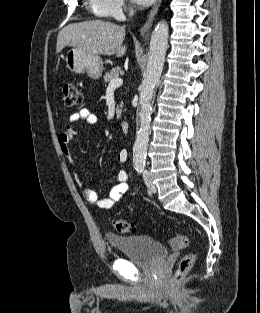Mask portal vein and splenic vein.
<instances>
[{
  "label": "portal vein and splenic vein",
  "mask_w": 260,
  "mask_h": 313,
  "mask_svg": "<svg viewBox=\"0 0 260 313\" xmlns=\"http://www.w3.org/2000/svg\"><path fill=\"white\" fill-rule=\"evenodd\" d=\"M123 84V80L121 78H115L110 81L108 88H118Z\"/></svg>",
  "instance_id": "1"
}]
</instances>
